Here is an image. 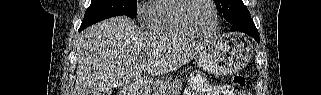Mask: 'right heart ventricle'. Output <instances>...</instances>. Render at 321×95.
<instances>
[{"label":"right heart ventricle","instance_id":"right-heart-ventricle-1","mask_svg":"<svg viewBox=\"0 0 321 95\" xmlns=\"http://www.w3.org/2000/svg\"><path fill=\"white\" fill-rule=\"evenodd\" d=\"M184 0H154L151 2L147 18L152 31L183 36H195L178 19V10Z\"/></svg>","mask_w":321,"mask_h":95}]
</instances>
